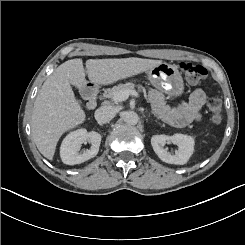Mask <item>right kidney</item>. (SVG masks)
I'll list each match as a JSON object with an SVG mask.
<instances>
[{
	"mask_svg": "<svg viewBox=\"0 0 245 245\" xmlns=\"http://www.w3.org/2000/svg\"><path fill=\"white\" fill-rule=\"evenodd\" d=\"M101 135L97 132H87L86 128H79L68 133L60 145V158L64 164L75 165L93 158L99 151ZM82 143H88L89 149L77 152Z\"/></svg>",
	"mask_w": 245,
	"mask_h": 245,
	"instance_id": "1",
	"label": "right kidney"
}]
</instances>
